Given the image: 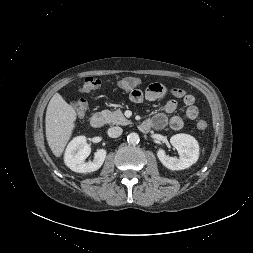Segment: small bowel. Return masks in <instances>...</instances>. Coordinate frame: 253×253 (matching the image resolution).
I'll use <instances>...</instances> for the list:
<instances>
[{"label":"small bowel","instance_id":"small-bowel-1","mask_svg":"<svg viewBox=\"0 0 253 253\" xmlns=\"http://www.w3.org/2000/svg\"><path fill=\"white\" fill-rule=\"evenodd\" d=\"M168 94H171L174 98L166 100L164 112L156 114L147 121L150 122L151 126L155 129H162L169 124L171 129L179 130L183 127L185 120H194L198 116L199 111L195 105V98L193 95L178 88H168L160 83H152L145 91L138 88L132 90L130 92V99L135 103H140L144 100L154 101L166 97ZM175 98L182 99L186 109L182 116L173 115L168 119L167 114L173 113L177 108V101Z\"/></svg>","mask_w":253,"mask_h":253}]
</instances>
